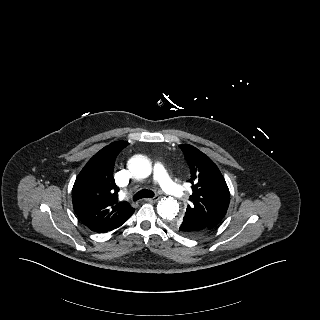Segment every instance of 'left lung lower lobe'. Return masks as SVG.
I'll list each match as a JSON object with an SVG mask.
<instances>
[{
  "instance_id": "1",
  "label": "left lung lower lobe",
  "mask_w": 320,
  "mask_h": 320,
  "mask_svg": "<svg viewBox=\"0 0 320 320\" xmlns=\"http://www.w3.org/2000/svg\"><path fill=\"white\" fill-rule=\"evenodd\" d=\"M170 226L175 232L187 237H196L211 230L203 224L198 223L196 219L191 216L181 218L177 228L173 227L172 223H170Z\"/></svg>"
}]
</instances>
